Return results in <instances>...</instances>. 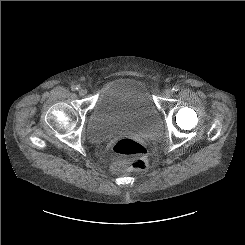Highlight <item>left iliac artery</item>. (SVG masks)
Here are the masks:
<instances>
[{"mask_svg": "<svg viewBox=\"0 0 245 245\" xmlns=\"http://www.w3.org/2000/svg\"><path fill=\"white\" fill-rule=\"evenodd\" d=\"M172 90H173L174 92H177V91L179 90V86H177V85L173 86Z\"/></svg>", "mask_w": 245, "mask_h": 245, "instance_id": "obj_1", "label": "left iliac artery"}]
</instances>
